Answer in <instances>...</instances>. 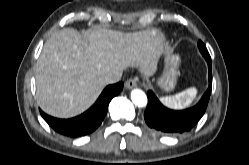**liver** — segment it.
I'll return each instance as SVG.
<instances>
[{
  "label": "liver",
  "instance_id": "1",
  "mask_svg": "<svg viewBox=\"0 0 249 165\" xmlns=\"http://www.w3.org/2000/svg\"><path fill=\"white\" fill-rule=\"evenodd\" d=\"M162 52L155 30L123 33L95 26L80 34L64 28L46 41L37 61V103L53 117L77 116L102 92L104 75L138 67L151 76Z\"/></svg>",
  "mask_w": 249,
  "mask_h": 165
}]
</instances>
